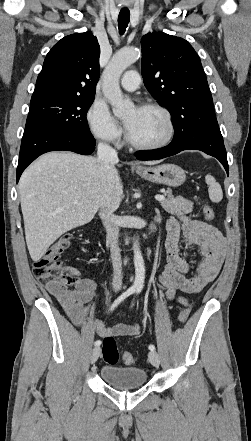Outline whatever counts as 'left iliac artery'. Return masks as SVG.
Instances as JSON below:
<instances>
[{
    "label": "left iliac artery",
    "mask_w": 251,
    "mask_h": 441,
    "mask_svg": "<svg viewBox=\"0 0 251 441\" xmlns=\"http://www.w3.org/2000/svg\"><path fill=\"white\" fill-rule=\"evenodd\" d=\"M140 292V290H138L137 291V293H139ZM133 305V304H132ZM149 349L151 350V351H154L155 350V346L153 345V344H150L149 345Z\"/></svg>",
    "instance_id": "obj_1"
}]
</instances>
